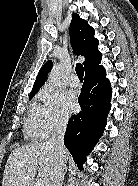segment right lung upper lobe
Here are the masks:
<instances>
[{
	"label": "right lung upper lobe",
	"mask_w": 138,
	"mask_h": 186,
	"mask_svg": "<svg viewBox=\"0 0 138 186\" xmlns=\"http://www.w3.org/2000/svg\"><path fill=\"white\" fill-rule=\"evenodd\" d=\"M94 34V29L86 20L80 18L78 14L72 15L70 25L71 45L77 55L85 57V61L83 62L85 76L106 74L105 69L99 65L102 54L98 51V40L94 38ZM51 67V61L43 65L38 73L30 95H35L39 88L42 87Z\"/></svg>",
	"instance_id": "cb5924a9"
}]
</instances>
